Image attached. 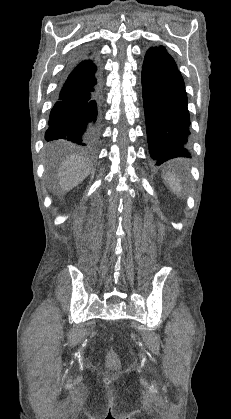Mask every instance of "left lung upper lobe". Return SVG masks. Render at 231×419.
I'll return each mask as SVG.
<instances>
[{"label":"left lung upper lobe","instance_id":"left-lung-upper-lobe-1","mask_svg":"<svg viewBox=\"0 0 231 419\" xmlns=\"http://www.w3.org/2000/svg\"><path fill=\"white\" fill-rule=\"evenodd\" d=\"M149 51H161V52H166V49L163 46H159V47H151L149 48Z\"/></svg>","mask_w":231,"mask_h":419}]
</instances>
